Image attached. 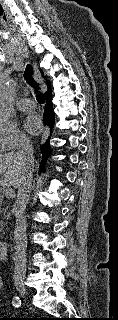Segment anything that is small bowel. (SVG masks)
<instances>
[{
	"instance_id": "1",
	"label": "small bowel",
	"mask_w": 118,
	"mask_h": 320,
	"mask_svg": "<svg viewBox=\"0 0 118 320\" xmlns=\"http://www.w3.org/2000/svg\"><path fill=\"white\" fill-rule=\"evenodd\" d=\"M2 287V280H1V275H0V289Z\"/></svg>"
}]
</instances>
